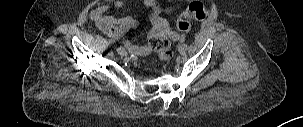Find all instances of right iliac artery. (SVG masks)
<instances>
[{"label":"right iliac artery","mask_w":303,"mask_h":127,"mask_svg":"<svg viewBox=\"0 0 303 127\" xmlns=\"http://www.w3.org/2000/svg\"><path fill=\"white\" fill-rule=\"evenodd\" d=\"M109 44L113 47V48H116V43H115V41L114 40H112V39H109Z\"/></svg>","instance_id":"82829eb1"}]
</instances>
